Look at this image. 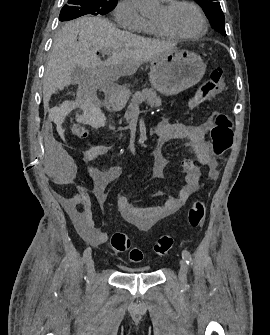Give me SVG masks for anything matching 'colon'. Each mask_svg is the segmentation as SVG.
Segmentation results:
<instances>
[{
  "mask_svg": "<svg viewBox=\"0 0 270 335\" xmlns=\"http://www.w3.org/2000/svg\"><path fill=\"white\" fill-rule=\"evenodd\" d=\"M224 70L221 67L214 68L206 77L205 82L199 88L197 94L188 102L189 107H196L198 104L207 101L214 95L221 92L224 82ZM74 134L85 139L88 132L83 127H79ZM232 124L230 117L225 113H219L215 117L214 125L211 129V142L214 155L216 157L224 156L232 146ZM205 218V205L200 199L195 200L185 218V222L190 227H199ZM175 238L172 235H164L153 246L155 256H164L174 247ZM110 247L117 253L128 252L129 261L132 263H142L144 253L139 248H132L127 234L118 231L113 234Z\"/></svg>",
  "mask_w": 270,
  "mask_h": 335,
  "instance_id": "5ec220e1",
  "label": "colon"
}]
</instances>
